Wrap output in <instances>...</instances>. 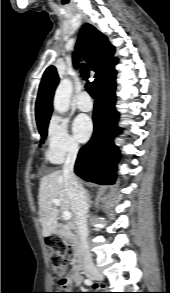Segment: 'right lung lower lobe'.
<instances>
[{"label": "right lung lower lobe", "instance_id": "right-lung-lower-lobe-1", "mask_svg": "<svg viewBox=\"0 0 170 293\" xmlns=\"http://www.w3.org/2000/svg\"><path fill=\"white\" fill-rule=\"evenodd\" d=\"M115 75L97 86L98 99L93 114L94 133L83 146L75 164V173L86 181L113 184L119 159V149L113 137L121 132L117 126L119 113L115 110Z\"/></svg>", "mask_w": 170, "mask_h": 293}]
</instances>
